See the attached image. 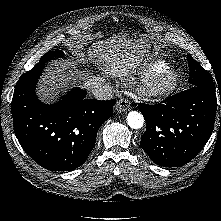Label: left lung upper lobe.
<instances>
[{
	"mask_svg": "<svg viewBox=\"0 0 221 221\" xmlns=\"http://www.w3.org/2000/svg\"><path fill=\"white\" fill-rule=\"evenodd\" d=\"M190 77L189 83L191 86H200L207 91L216 93L213 78L196 60L190 55H187Z\"/></svg>",
	"mask_w": 221,
	"mask_h": 221,
	"instance_id": "1",
	"label": "left lung upper lobe"
}]
</instances>
